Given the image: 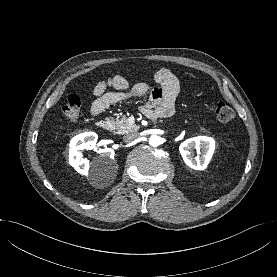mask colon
Wrapping results in <instances>:
<instances>
[{
  "mask_svg": "<svg viewBox=\"0 0 277 277\" xmlns=\"http://www.w3.org/2000/svg\"><path fill=\"white\" fill-rule=\"evenodd\" d=\"M81 99L78 95L72 94L68 97L66 103L62 107V112L68 119H77L80 115ZM214 113L221 123H228L234 118L233 109L222 100L214 105Z\"/></svg>",
  "mask_w": 277,
  "mask_h": 277,
  "instance_id": "obj_1",
  "label": "colon"
}]
</instances>
